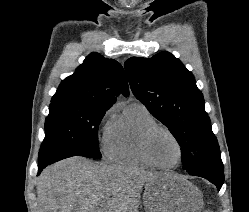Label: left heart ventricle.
<instances>
[{
  "instance_id": "1",
  "label": "left heart ventricle",
  "mask_w": 249,
  "mask_h": 212,
  "mask_svg": "<svg viewBox=\"0 0 249 212\" xmlns=\"http://www.w3.org/2000/svg\"><path fill=\"white\" fill-rule=\"evenodd\" d=\"M152 153L161 164L173 165L179 159V150L175 141L165 133H159L152 141Z\"/></svg>"
}]
</instances>
